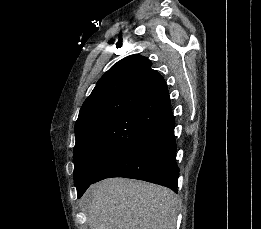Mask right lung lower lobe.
Listing matches in <instances>:
<instances>
[{
  "label": "right lung lower lobe",
  "instance_id": "98d812e1",
  "mask_svg": "<svg viewBox=\"0 0 261 229\" xmlns=\"http://www.w3.org/2000/svg\"><path fill=\"white\" fill-rule=\"evenodd\" d=\"M174 118L170 114L158 127L107 166L92 183L109 177L140 179L177 190Z\"/></svg>",
  "mask_w": 261,
  "mask_h": 229
}]
</instances>
